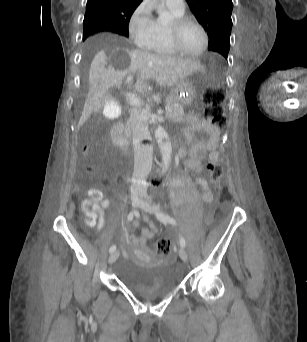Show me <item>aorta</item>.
<instances>
[{
    "label": "aorta",
    "mask_w": 307,
    "mask_h": 342,
    "mask_svg": "<svg viewBox=\"0 0 307 342\" xmlns=\"http://www.w3.org/2000/svg\"><path fill=\"white\" fill-rule=\"evenodd\" d=\"M162 14L160 18H158V22H162L164 18H166L168 12L166 10L165 4H160L159 6ZM155 138H157V144L160 148L161 156H162V174H165L167 172L171 160H172V146L171 142H169L168 134L165 132L164 128L162 126H157L155 130Z\"/></svg>",
    "instance_id": "obj_1"
}]
</instances>
